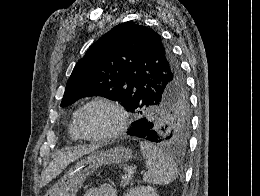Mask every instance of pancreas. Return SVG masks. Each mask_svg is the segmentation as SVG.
I'll return each instance as SVG.
<instances>
[{
  "label": "pancreas",
  "mask_w": 260,
  "mask_h": 196,
  "mask_svg": "<svg viewBox=\"0 0 260 196\" xmlns=\"http://www.w3.org/2000/svg\"><path fill=\"white\" fill-rule=\"evenodd\" d=\"M130 180H132V176H129V174H124V176H121V182L119 186H121V188H125V186L129 184Z\"/></svg>",
  "instance_id": "pancreas-1"
}]
</instances>
